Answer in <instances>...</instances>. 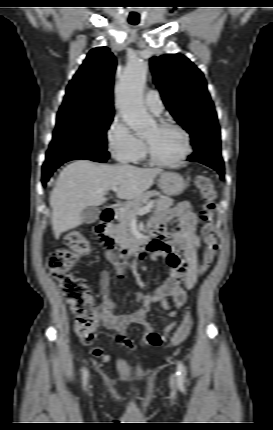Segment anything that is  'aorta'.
<instances>
[{
  "label": "aorta",
  "mask_w": 273,
  "mask_h": 430,
  "mask_svg": "<svg viewBox=\"0 0 273 430\" xmlns=\"http://www.w3.org/2000/svg\"><path fill=\"white\" fill-rule=\"evenodd\" d=\"M147 71L148 65L144 60H133L120 79L116 92L117 106L124 121L139 134H144L155 124L143 104Z\"/></svg>",
  "instance_id": "obj_1"
}]
</instances>
